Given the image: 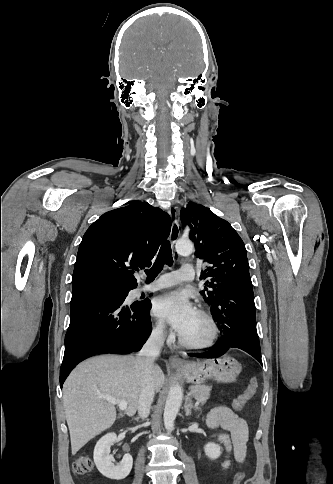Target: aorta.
Instances as JSON below:
<instances>
[{
	"label": "aorta",
	"instance_id": "aorta-1",
	"mask_svg": "<svg viewBox=\"0 0 333 484\" xmlns=\"http://www.w3.org/2000/svg\"><path fill=\"white\" fill-rule=\"evenodd\" d=\"M175 249L178 254L188 255L192 252L193 245L189 240L180 239L176 242ZM182 397L183 391L180 385L176 384L170 388L163 414L164 426L167 431L174 429V421L181 406Z\"/></svg>",
	"mask_w": 333,
	"mask_h": 484
}]
</instances>
